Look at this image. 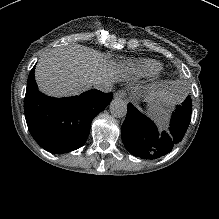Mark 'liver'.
Wrapping results in <instances>:
<instances>
[{
    "instance_id": "6515ba94",
    "label": "liver",
    "mask_w": 219,
    "mask_h": 219,
    "mask_svg": "<svg viewBox=\"0 0 219 219\" xmlns=\"http://www.w3.org/2000/svg\"><path fill=\"white\" fill-rule=\"evenodd\" d=\"M36 81L41 91L53 96H69L91 89L95 78L102 77L99 59L90 49L68 47L40 59Z\"/></svg>"
}]
</instances>
